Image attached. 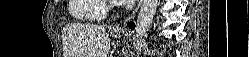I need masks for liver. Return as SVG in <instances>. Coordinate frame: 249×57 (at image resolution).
Returning <instances> with one entry per match:
<instances>
[{
	"label": "liver",
	"instance_id": "liver-1",
	"mask_svg": "<svg viewBox=\"0 0 249 57\" xmlns=\"http://www.w3.org/2000/svg\"><path fill=\"white\" fill-rule=\"evenodd\" d=\"M70 57H107L110 40L104 25L70 24L64 28Z\"/></svg>",
	"mask_w": 249,
	"mask_h": 57
}]
</instances>
